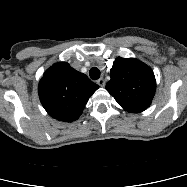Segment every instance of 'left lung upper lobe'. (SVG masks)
Masks as SVG:
<instances>
[{
  "label": "left lung upper lobe",
  "mask_w": 187,
  "mask_h": 187,
  "mask_svg": "<svg viewBox=\"0 0 187 187\" xmlns=\"http://www.w3.org/2000/svg\"><path fill=\"white\" fill-rule=\"evenodd\" d=\"M110 76L106 89L125 111L139 113L150 106L156 81L149 66L134 58L118 57Z\"/></svg>",
  "instance_id": "5c2ea615"
}]
</instances>
